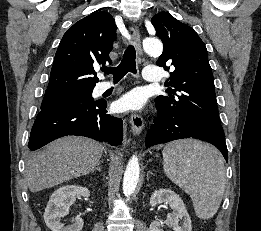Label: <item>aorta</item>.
<instances>
[{
  "label": "aorta",
  "instance_id": "1",
  "mask_svg": "<svg viewBox=\"0 0 261 231\" xmlns=\"http://www.w3.org/2000/svg\"><path fill=\"white\" fill-rule=\"evenodd\" d=\"M144 50L151 56H159L163 51V45L158 40H150L144 43ZM139 160L133 155L129 160L123 178V193L125 196L131 195L137 186L139 180Z\"/></svg>",
  "mask_w": 261,
  "mask_h": 231
}]
</instances>
